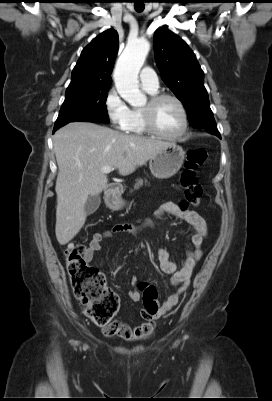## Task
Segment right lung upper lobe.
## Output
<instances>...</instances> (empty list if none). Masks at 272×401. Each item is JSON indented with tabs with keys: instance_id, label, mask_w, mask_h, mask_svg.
Wrapping results in <instances>:
<instances>
[{
	"instance_id": "1",
	"label": "right lung upper lobe",
	"mask_w": 272,
	"mask_h": 401,
	"mask_svg": "<svg viewBox=\"0 0 272 401\" xmlns=\"http://www.w3.org/2000/svg\"><path fill=\"white\" fill-rule=\"evenodd\" d=\"M119 47L118 34L109 29L94 38L81 52L66 93L111 86V72Z\"/></svg>"
}]
</instances>
